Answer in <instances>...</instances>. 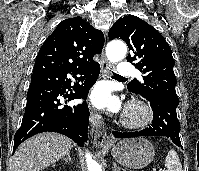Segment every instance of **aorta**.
<instances>
[{
	"label": "aorta",
	"instance_id": "obj_1",
	"mask_svg": "<svg viewBox=\"0 0 199 171\" xmlns=\"http://www.w3.org/2000/svg\"><path fill=\"white\" fill-rule=\"evenodd\" d=\"M126 52V45L121 41H111L106 47V56L112 63L122 60L125 57ZM85 158L88 171H102L100 164L92 159L89 153L85 155Z\"/></svg>",
	"mask_w": 199,
	"mask_h": 171
}]
</instances>
